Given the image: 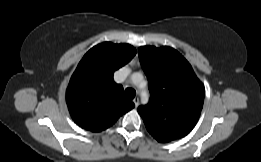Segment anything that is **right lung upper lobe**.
<instances>
[{
	"instance_id": "right-lung-upper-lobe-1",
	"label": "right lung upper lobe",
	"mask_w": 261,
	"mask_h": 162,
	"mask_svg": "<svg viewBox=\"0 0 261 162\" xmlns=\"http://www.w3.org/2000/svg\"><path fill=\"white\" fill-rule=\"evenodd\" d=\"M136 54L129 44L104 42L90 49L78 64L66 92V102L74 122L100 132L134 108L123 98V87L113 81L115 70Z\"/></svg>"
}]
</instances>
